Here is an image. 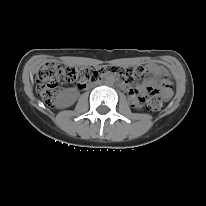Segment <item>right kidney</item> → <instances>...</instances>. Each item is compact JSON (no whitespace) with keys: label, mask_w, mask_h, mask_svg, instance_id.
<instances>
[{"label":"right kidney","mask_w":206,"mask_h":206,"mask_svg":"<svg viewBox=\"0 0 206 206\" xmlns=\"http://www.w3.org/2000/svg\"><path fill=\"white\" fill-rule=\"evenodd\" d=\"M73 102H74V98L70 97L66 93H62L58 97V106H60V107H68V106L72 105Z\"/></svg>","instance_id":"ca27d5eb"}]
</instances>
